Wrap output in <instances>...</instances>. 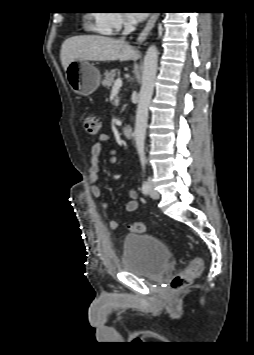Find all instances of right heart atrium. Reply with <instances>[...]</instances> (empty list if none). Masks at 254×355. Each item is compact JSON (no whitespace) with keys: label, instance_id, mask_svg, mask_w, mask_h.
<instances>
[{"label":"right heart atrium","instance_id":"d8ad5b80","mask_svg":"<svg viewBox=\"0 0 254 355\" xmlns=\"http://www.w3.org/2000/svg\"><path fill=\"white\" fill-rule=\"evenodd\" d=\"M95 24L105 34H115L132 25L129 15L121 10L113 9L97 14Z\"/></svg>","mask_w":254,"mask_h":355}]
</instances>
